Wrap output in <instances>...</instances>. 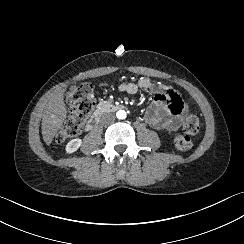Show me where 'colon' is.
<instances>
[{"label": "colon", "mask_w": 244, "mask_h": 244, "mask_svg": "<svg viewBox=\"0 0 244 244\" xmlns=\"http://www.w3.org/2000/svg\"><path fill=\"white\" fill-rule=\"evenodd\" d=\"M66 102L70 107V112L57 134L58 143L75 137L86 118L91 114L95 104L93 86L83 82L72 87L66 95ZM199 126V120L195 116H187L181 129L173 137L175 146L182 151L190 150Z\"/></svg>", "instance_id": "5ec220e1"}]
</instances>
